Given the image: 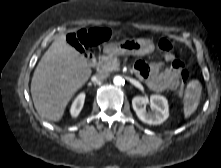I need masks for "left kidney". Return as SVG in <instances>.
<instances>
[{"mask_svg":"<svg viewBox=\"0 0 221 168\" xmlns=\"http://www.w3.org/2000/svg\"><path fill=\"white\" fill-rule=\"evenodd\" d=\"M147 98L136 96L132 99V106L138 118L149 125L162 124L169 116L168 101L164 96L152 95L150 97V106L153 113H147L145 105Z\"/></svg>","mask_w":221,"mask_h":168,"instance_id":"obj_1","label":"left kidney"}]
</instances>
